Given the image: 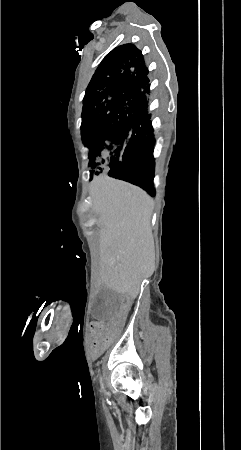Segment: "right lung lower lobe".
<instances>
[{
	"label": "right lung lower lobe",
	"mask_w": 241,
	"mask_h": 450,
	"mask_svg": "<svg viewBox=\"0 0 241 450\" xmlns=\"http://www.w3.org/2000/svg\"><path fill=\"white\" fill-rule=\"evenodd\" d=\"M147 88L150 89L149 85ZM150 117L147 114L143 120L137 121L133 125L134 129L144 134V138L130 153L123 156L121 161L110 169L109 176L140 186L148 194L155 196V190L153 189L155 169L153 157L154 139Z\"/></svg>",
	"instance_id": "right-lung-lower-lobe-1"
}]
</instances>
